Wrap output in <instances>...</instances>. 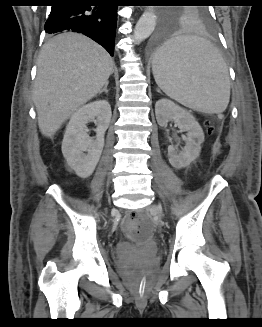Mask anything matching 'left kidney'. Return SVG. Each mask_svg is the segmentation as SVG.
<instances>
[{
  "instance_id": "obj_1",
  "label": "left kidney",
  "mask_w": 262,
  "mask_h": 327,
  "mask_svg": "<svg viewBox=\"0 0 262 327\" xmlns=\"http://www.w3.org/2000/svg\"><path fill=\"white\" fill-rule=\"evenodd\" d=\"M155 114L158 124L166 127L170 120H176L178 127L187 132L186 145L182 151L170 145L168 157L170 164L181 169L189 166L200 154L201 144L204 142V133L195 117L186 109L169 99H160L155 104Z\"/></svg>"
}]
</instances>
